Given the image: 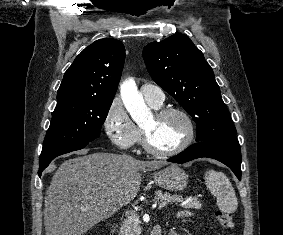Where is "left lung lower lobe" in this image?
Here are the masks:
<instances>
[{
    "label": "left lung lower lobe",
    "instance_id": "left-lung-lower-lobe-1",
    "mask_svg": "<svg viewBox=\"0 0 283 235\" xmlns=\"http://www.w3.org/2000/svg\"><path fill=\"white\" fill-rule=\"evenodd\" d=\"M201 157L213 158L224 163L241 180V149L236 136L198 142L167 161L185 163Z\"/></svg>",
    "mask_w": 283,
    "mask_h": 235
}]
</instances>
